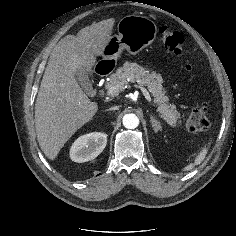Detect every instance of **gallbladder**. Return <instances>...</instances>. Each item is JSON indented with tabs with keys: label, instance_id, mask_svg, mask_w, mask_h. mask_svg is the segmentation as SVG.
Instances as JSON below:
<instances>
[{
	"label": "gallbladder",
	"instance_id": "1",
	"mask_svg": "<svg viewBox=\"0 0 236 236\" xmlns=\"http://www.w3.org/2000/svg\"><path fill=\"white\" fill-rule=\"evenodd\" d=\"M76 78L80 82L83 90L89 95L92 94L93 87H92L91 81L89 79V76H87L86 74H83L81 72H77Z\"/></svg>",
	"mask_w": 236,
	"mask_h": 236
}]
</instances>
